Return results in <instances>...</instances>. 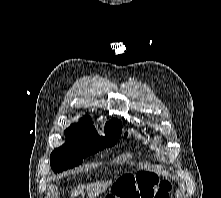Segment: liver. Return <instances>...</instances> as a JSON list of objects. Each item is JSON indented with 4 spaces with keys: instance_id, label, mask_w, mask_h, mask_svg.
<instances>
[{
    "instance_id": "obj_1",
    "label": "liver",
    "mask_w": 221,
    "mask_h": 198,
    "mask_svg": "<svg viewBox=\"0 0 221 198\" xmlns=\"http://www.w3.org/2000/svg\"><path fill=\"white\" fill-rule=\"evenodd\" d=\"M110 184H111V181H106V182H96V183L86 184L83 186H77L75 189L72 190L71 198H74V197L78 196L80 193H82L83 187L86 189L89 198H95L100 193L105 191V189Z\"/></svg>"
}]
</instances>
